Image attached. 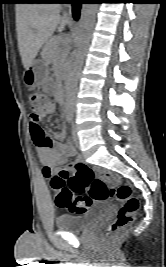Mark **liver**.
<instances>
[{
    "instance_id": "1",
    "label": "liver",
    "mask_w": 166,
    "mask_h": 267,
    "mask_svg": "<svg viewBox=\"0 0 166 267\" xmlns=\"http://www.w3.org/2000/svg\"><path fill=\"white\" fill-rule=\"evenodd\" d=\"M15 10L18 48L27 69L56 29H65L68 19L60 16L57 4L18 3Z\"/></svg>"
}]
</instances>
